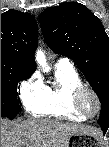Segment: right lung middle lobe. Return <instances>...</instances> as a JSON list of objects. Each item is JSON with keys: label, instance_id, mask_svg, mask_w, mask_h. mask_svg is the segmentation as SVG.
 Returning <instances> with one entry per match:
<instances>
[{"label": "right lung middle lobe", "instance_id": "1", "mask_svg": "<svg viewBox=\"0 0 109 147\" xmlns=\"http://www.w3.org/2000/svg\"><path fill=\"white\" fill-rule=\"evenodd\" d=\"M33 71L15 63L1 60V117L14 119L21 112L17 99V85L28 79Z\"/></svg>", "mask_w": 109, "mask_h": 147}]
</instances>
